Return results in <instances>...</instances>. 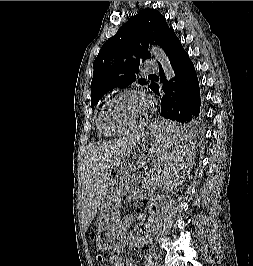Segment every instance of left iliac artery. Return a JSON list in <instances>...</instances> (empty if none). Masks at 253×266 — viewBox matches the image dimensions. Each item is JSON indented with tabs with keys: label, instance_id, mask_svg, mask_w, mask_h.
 <instances>
[{
	"label": "left iliac artery",
	"instance_id": "left-iliac-artery-1",
	"mask_svg": "<svg viewBox=\"0 0 253 266\" xmlns=\"http://www.w3.org/2000/svg\"><path fill=\"white\" fill-rule=\"evenodd\" d=\"M155 266H161V265H159V264L155 263Z\"/></svg>",
	"mask_w": 253,
	"mask_h": 266
}]
</instances>
